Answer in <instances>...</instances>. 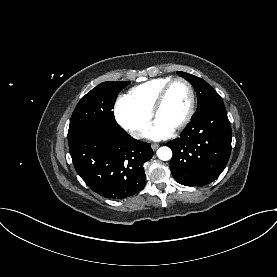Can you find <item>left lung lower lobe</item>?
<instances>
[{"instance_id": "left-lung-lower-lobe-1", "label": "left lung lower lobe", "mask_w": 277, "mask_h": 277, "mask_svg": "<svg viewBox=\"0 0 277 277\" xmlns=\"http://www.w3.org/2000/svg\"><path fill=\"white\" fill-rule=\"evenodd\" d=\"M232 132L222 100L196 113L180 137L167 143L173 150L170 169L185 186L201 187L224 170L231 152Z\"/></svg>"}]
</instances>
